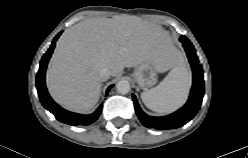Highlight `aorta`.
Segmentation results:
<instances>
[{
    "label": "aorta",
    "mask_w": 248,
    "mask_h": 158,
    "mask_svg": "<svg viewBox=\"0 0 248 158\" xmlns=\"http://www.w3.org/2000/svg\"><path fill=\"white\" fill-rule=\"evenodd\" d=\"M130 83L126 80H121L116 84L117 92L127 94L130 91Z\"/></svg>",
    "instance_id": "762f6f07"
}]
</instances>
